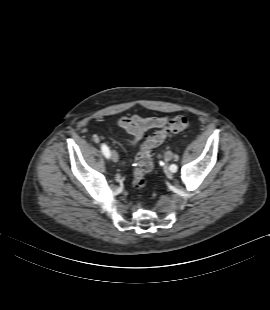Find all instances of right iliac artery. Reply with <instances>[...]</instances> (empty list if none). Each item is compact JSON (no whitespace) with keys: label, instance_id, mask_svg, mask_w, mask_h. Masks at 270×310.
I'll list each match as a JSON object with an SVG mask.
<instances>
[{"label":"right iliac artery","instance_id":"obj_1","mask_svg":"<svg viewBox=\"0 0 270 310\" xmlns=\"http://www.w3.org/2000/svg\"><path fill=\"white\" fill-rule=\"evenodd\" d=\"M101 149L106 158L110 157V150L106 144L101 145Z\"/></svg>","mask_w":270,"mask_h":310}]
</instances>
